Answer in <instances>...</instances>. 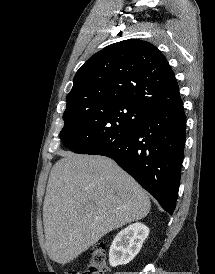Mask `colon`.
I'll return each instance as SVG.
<instances>
[{"instance_id":"1","label":"colon","mask_w":215,"mask_h":274,"mask_svg":"<svg viewBox=\"0 0 215 274\" xmlns=\"http://www.w3.org/2000/svg\"><path fill=\"white\" fill-rule=\"evenodd\" d=\"M107 271L106 248L103 244H97L91 250L87 270L83 272H68V274H106Z\"/></svg>"}]
</instances>
